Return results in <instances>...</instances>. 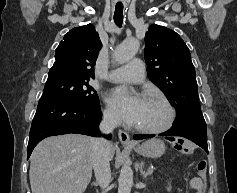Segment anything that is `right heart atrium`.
I'll use <instances>...</instances> for the list:
<instances>
[{
	"instance_id": "obj_1",
	"label": "right heart atrium",
	"mask_w": 237,
	"mask_h": 193,
	"mask_svg": "<svg viewBox=\"0 0 237 193\" xmlns=\"http://www.w3.org/2000/svg\"><path fill=\"white\" fill-rule=\"evenodd\" d=\"M103 117L104 120L111 125H116L120 122L118 114L110 107L105 108Z\"/></svg>"
}]
</instances>
